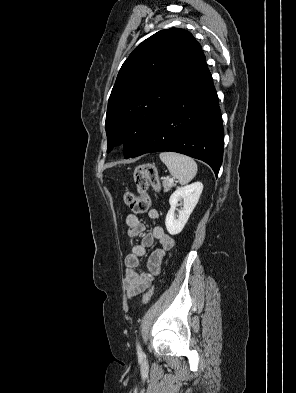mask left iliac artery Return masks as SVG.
I'll list each match as a JSON object with an SVG mask.
<instances>
[{
    "label": "left iliac artery",
    "mask_w": 296,
    "mask_h": 393,
    "mask_svg": "<svg viewBox=\"0 0 296 393\" xmlns=\"http://www.w3.org/2000/svg\"><path fill=\"white\" fill-rule=\"evenodd\" d=\"M137 352L139 355H142V353H143L139 343L137 344Z\"/></svg>",
    "instance_id": "1"
}]
</instances>
